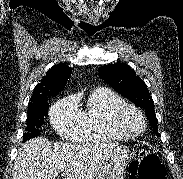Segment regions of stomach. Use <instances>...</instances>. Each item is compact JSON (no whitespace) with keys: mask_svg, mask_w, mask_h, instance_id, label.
<instances>
[{"mask_svg":"<svg viewBox=\"0 0 183 179\" xmlns=\"http://www.w3.org/2000/svg\"><path fill=\"white\" fill-rule=\"evenodd\" d=\"M132 153L126 146H116L104 160L96 179H123L126 166Z\"/></svg>","mask_w":183,"mask_h":179,"instance_id":"obj_1","label":"stomach"}]
</instances>
